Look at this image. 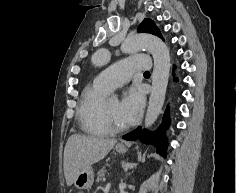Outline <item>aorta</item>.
Listing matches in <instances>:
<instances>
[{
	"mask_svg": "<svg viewBox=\"0 0 237 193\" xmlns=\"http://www.w3.org/2000/svg\"><path fill=\"white\" fill-rule=\"evenodd\" d=\"M143 48L152 54L154 60L151 94L144 121V127L149 128L155 123L162 110L171 63L167 46L157 36L146 33L133 34L122 44L125 53H134Z\"/></svg>",
	"mask_w": 237,
	"mask_h": 193,
	"instance_id": "1",
	"label": "aorta"
}]
</instances>
